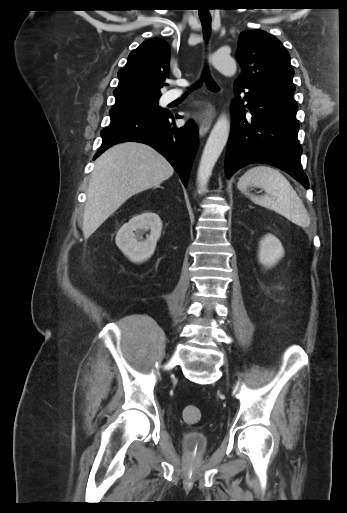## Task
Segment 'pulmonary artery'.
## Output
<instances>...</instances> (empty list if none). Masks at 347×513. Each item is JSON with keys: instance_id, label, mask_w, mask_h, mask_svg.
<instances>
[{"instance_id": "e3ab8cb5", "label": "pulmonary artery", "mask_w": 347, "mask_h": 513, "mask_svg": "<svg viewBox=\"0 0 347 513\" xmlns=\"http://www.w3.org/2000/svg\"><path fill=\"white\" fill-rule=\"evenodd\" d=\"M177 85L185 87V86H188V82L184 79H180L177 81ZM182 94H183L182 91L178 90V89L169 90L164 96V102H166V103L172 102V101L180 98L182 96Z\"/></svg>"}]
</instances>
